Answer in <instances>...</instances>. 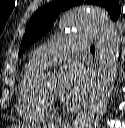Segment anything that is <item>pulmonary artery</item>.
I'll list each match as a JSON object with an SVG mask.
<instances>
[{"instance_id": "pulmonary-artery-1", "label": "pulmonary artery", "mask_w": 125, "mask_h": 128, "mask_svg": "<svg viewBox=\"0 0 125 128\" xmlns=\"http://www.w3.org/2000/svg\"><path fill=\"white\" fill-rule=\"evenodd\" d=\"M90 40L91 36L88 34L63 37L56 43L37 49L32 54L31 61L42 68L48 67L72 53L89 49Z\"/></svg>"}]
</instances>
